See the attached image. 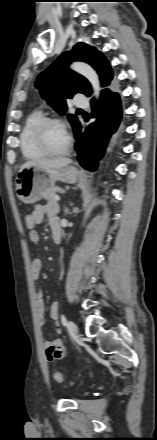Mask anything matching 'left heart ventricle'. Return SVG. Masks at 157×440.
Wrapping results in <instances>:
<instances>
[{"instance_id": "left-heart-ventricle-1", "label": "left heart ventricle", "mask_w": 157, "mask_h": 440, "mask_svg": "<svg viewBox=\"0 0 157 440\" xmlns=\"http://www.w3.org/2000/svg\"><path fill=\"white\" fill-rule=\"evenodd\" d=\"M45 142L49 149L53 151H60L68 144V135L65 129L60 125H50L46 128Z\"/></svg>"}]
</instances>
